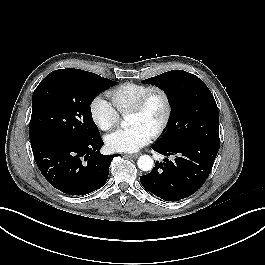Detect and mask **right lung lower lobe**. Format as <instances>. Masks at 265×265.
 Here are the masks:
<instances>
[{
    "label": "right lung lower lobe",
    "mask_w": 265,
    "mask_h": 265,
    "mask_svg": "<svg viewBox=\"0 0 265 265\" xmlns=\"http://www.w3.org/2000/svg\"><path fill=\"white\" fill-rule=\"evenodd\" d=\"M100 136L87 141H58L32 146L37 166L48 182L69 195H85L107 181L116 155H102Z\"/></svg>",
    "instance_id": "1"
}]
</instances>
